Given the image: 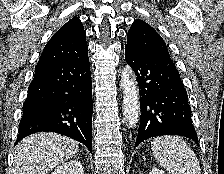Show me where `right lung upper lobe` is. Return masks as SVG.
I'll list each match as a JSON object with an SVG mask.
<instances>
[{
	"label": "right lung upper lobe",
	"instance_id": "cb5924a9",
	"mask_svg": "<svg viewBox=\"0 0 224 174\" xmlns=\"http://www.w3.org/2000/svg\"><path fill=\"white\" fill-rule=\"evenodd\" d=\"M88 55L86 35L78 17L65 23L48 41L36 69L82 58Z\"/></svg>",
	"mask_w": 224,
	"mask_h": 174
}]
</instances>
